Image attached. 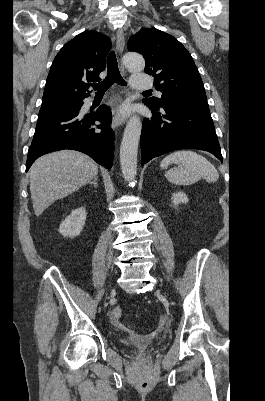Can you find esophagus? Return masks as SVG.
<instances>
[{
    "label": "esophagus",
    "instance_id": "esophagus-1",
    "mask_svg": "<svg viewBox=\"0 0 265 401\" xmlns=\"http://www.w3.org/2000/svg\"><path fill=\"white\" fill-rule=\"evenodd\" d=\"M116 44H117V51H118L119 55L121 56L122 52L124 50V45H125L124 33H123V30H121V29H119L117 31ZM120 70L123 74L125 73V69L122 64H120ZM125 120H126V118L124 115H122L119 112H115L114 116H113L112 127L116 128V127H119L120 125H123L125 123Z\"/></svg>",
    "mask_w": 265,
    "mask_h": 401
}]
</instances>
